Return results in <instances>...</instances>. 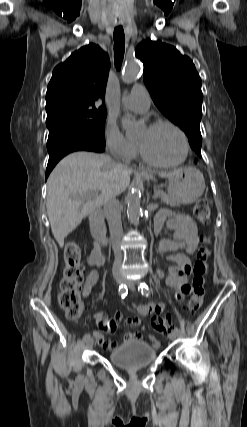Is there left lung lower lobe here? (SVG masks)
<instances>
[{"instance_id": "0a47b994", "label": "left lung lower lobe", "mask_w": 247, "mask_h": 427, "mask_svg": "<svg viewBox=\"0 0 247 427\" xmlns=\"http://www.w3.org/2000/svg\"><path fill=\"white\" fill-rule=\"evenodd\" d=\"M200 159H201V158H196V159H195V162H197V161H198V160H200Z\"/></svg>"}]
</instances>
